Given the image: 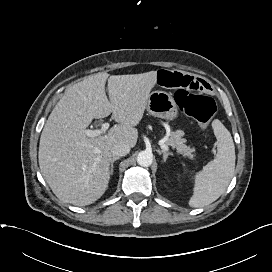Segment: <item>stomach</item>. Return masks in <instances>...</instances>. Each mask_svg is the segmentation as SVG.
Segmentation results:
<instances>
[{
  "instance_id": "obj_1",
  "label": "stomach",
  "mask_w": 272,
  "mask_h": 272,
  "mask_svg": "<svg viewBox=\"0 0 272 272\" xmlns=\"http://www.w3.org/2000/svg\"><path fill=\"white\" fill-rule=\"evenodd\" d=\"M146 109L150 115L162 119L173 120L178 116L177 104L165 91L151 92Z\"/></svg>"
}]
</instances>
